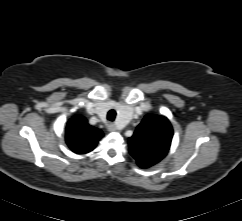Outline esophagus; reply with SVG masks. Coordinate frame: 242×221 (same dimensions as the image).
<instances>
[{
  "label": "esophagus",
  "instance_id": "obj_1",
  "mask_svg": "<svg viewBox=\"0 0 242 221\" xmlns=\"http://www.w3.org/2000/svg\"><path fill=\"white\" fill-rule=\"evenodd\" d=\"M107 129H108V131H116L117 130V127H116V125L114 124V123H109L108 125H107Z\"/></svg>",
  "mask_w": 242,
  "mask_h": 221
}]
</instances>
